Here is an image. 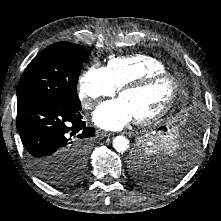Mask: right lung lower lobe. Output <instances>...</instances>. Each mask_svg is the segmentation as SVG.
I'll return each mask as SVG.
<instances>
[{"mask_svg":"<svg viewBox=\"0 0 221 221\" xmlns=\"http://www.w3.org/2000/svg\"><path fill=\"white\" fill-rule=\"evenodd\" d=\"M17 110V129L37 175L52 164L63 165L75 144L90 140L95 134L82 120L81 105L33 99Z\"/></svg>","mask_w":221,"mask_h":221,"instance_id":"obj_1","label":"right lung lower lobe"}]
</instances>
